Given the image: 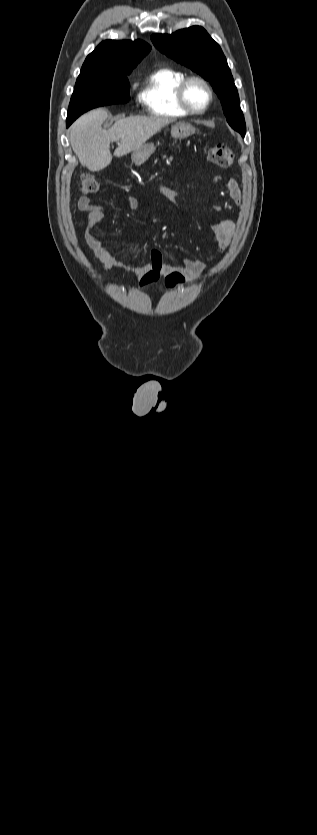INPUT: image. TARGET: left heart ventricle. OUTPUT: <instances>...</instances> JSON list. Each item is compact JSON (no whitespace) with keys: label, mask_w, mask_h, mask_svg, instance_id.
Instances as JSON below:
<instances>
[{"label":"left heart ventricle","mask_w":317,"mask_h":835,"mask_svg":"<svg viewBox=\"0 0 317 835\" xmlns=\"http://www.w3.org/2000/svg\"><path fill=\"white\" fill-rule=\"evenodd\" d=\"M187 98L194 108L200 109L208 100V92L202 84L193 82L188 87Z\"/></svg>","instance_id":"obj_1"}]
</instances>
